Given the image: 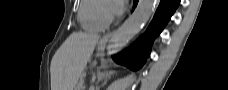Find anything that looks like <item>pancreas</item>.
Here are the masks:
<instances>
[{"instance_id":"pancreas-1","label":"pancreas","mask_w":228,"mask_h":90,"mask_svg":"<svg viewBox=\"0 0 228 90\" xmlns=\"http://www.w3.org/2000/svg\"><path fill=\"white\" fill-rule=\"evenodd\" d=\"M84 89H85V87H84V85H83V81L80 80V81L77 83L75 90H84Z\"/></svg>"}]
</instances>
